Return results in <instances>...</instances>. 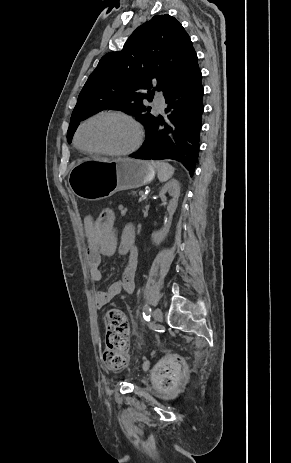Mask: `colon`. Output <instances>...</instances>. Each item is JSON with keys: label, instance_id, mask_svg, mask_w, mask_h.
Wrapping results in <instances>:
<instances>
[{"label": "colon", "instance_id": "colon-1", "mask_svg": "<svg viewBox=\"0 0 291 463\" xmlns=\"http://www.w3.org/2000/svg\"><path fill=\"white\" fill-rule=\"evenodd\" d=\"M117 213L113 208L102 207L96 214L98 230L104 232L107 226H115ZM106 344L103 352V362L110 370H120L128 363V323L125 315L118 309L110 310L105 316ZM162 373L161 385L170 386L177 378L183 375V367L172 361L160 368Z\"/></svg>", "mask_w": 291, "mask_h": 463}]
</instances>
